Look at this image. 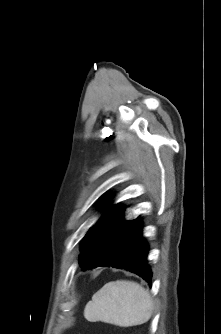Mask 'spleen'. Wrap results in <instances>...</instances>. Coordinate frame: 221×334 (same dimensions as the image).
Wrapping results in <instances>:
<instances>
[{
  "label": "spleen",
  "instance_id": "3e777b00",
  "mask_svg": "<svg viewBox=\"0 0 221 334\" xmlns=\"http://www.w3.org/2000/svg\"><path fill=\"white\" fill-rule=\"evenodd\" d=\"M153 309V300L144 287L134 281L117 280L106 283L92 296L84 317L90 322L131 327L146 323Z\"/></svg>",
  "mask_w": 221,
  "mask_h": 334
}]
</instances>
